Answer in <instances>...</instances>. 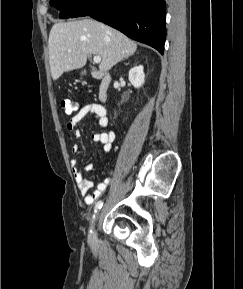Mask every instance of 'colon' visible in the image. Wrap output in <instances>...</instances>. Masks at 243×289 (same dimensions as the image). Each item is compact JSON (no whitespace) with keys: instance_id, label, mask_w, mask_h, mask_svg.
I'll use <instances>...</instances> for the list:
<instances>
[{"instance_id":"5ec220e1","label":"colon","mask_w":243,"mask_h":289,"mask_svg":"<svg viewBox=\"0 0 243 289\" xmlns=\"http://www.w3.org/2000/svg\"><path fill=\"white\" fill-rule=\"evenodd\" d=\"M61 107L66 114L70 115L74 113L75 111H77L78 104L71 99H63L61 101Z\"/></svg>"}]
</instances>
